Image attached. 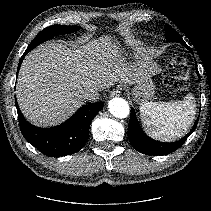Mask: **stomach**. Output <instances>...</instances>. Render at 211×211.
I'll list each match as a JSON object with an SVG mask.
<instances>
[{
    "label": "stomach",
    "mask_w": 211,
    "mask_h": 211,
    "mask_svg": "<svg viewBox=\"0 0 211 211\" xmlns=\"http://www.w3.org/2000/svg\"><path fill=\"white\" fill-rule=\"evenodd\" d=\"M155 63L149 61L148 66L144 72L137 78L132 89L134 101L145 102L152 98L155 94V85L153 82V75L155 72Z\"/></svg>",
    "instance_id": "stomach-1"
}]
</instances>
